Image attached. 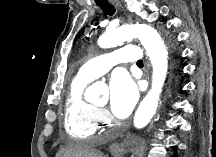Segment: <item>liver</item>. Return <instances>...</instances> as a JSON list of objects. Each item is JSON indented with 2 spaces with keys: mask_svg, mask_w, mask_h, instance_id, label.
<instances>
[{
  "mask_svg": "<svg viewBox=\"0 0 216 157\" xmlns=\"http://www.w3.org/2000/svg\"><path fill=\"white\" fill-rule=\"evenodd\" d=\"M57 157H102V153L95 151L85 143L72 142L67 148L61 150Z\"/></svg>",
  "mask_w": 216,
  "mask_h": 157,
  "instance_id": "liver-1",
  "label": "liver"
}]
</instances>
